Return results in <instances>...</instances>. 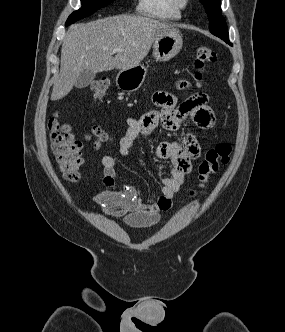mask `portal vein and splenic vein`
Segmentation results:
<instances>
[{
	"mask_svg": "<svg viewBox=\"0 0 285 332\" xmlns=\"http://www.w3.org/2000/svg\"><path fill=\"white\" fill-rule=\"evenodd\" d=\"M112 53H118V52H121L123 51V48H115V49H112L110 50Z\"/></svg>",
	"mask_w": 285,
	"mask_h": 332,
	"instance_id": "obj_1",
	"label": "portal vein and splenic vein"
}]
</instances>
